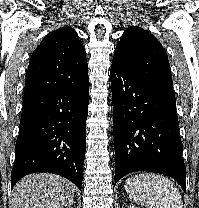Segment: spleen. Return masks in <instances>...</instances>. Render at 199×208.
Here are the masks:
<instances>
[{
  "mask_svg": "<svg viewBox=\"0 0 199 208\" xmlns=\"http://www.w3.org/2000/svg\"><path fill=\"white\" fill-rule=\"evenodd\" d=\"M124 187L134 202L146 208H183L177 187L162 175H135L126 180Z\"/></svg>",
  "mask_w": 199,
  "mask_h": 208,
  "instance_id": "spleen-1",
  "label": "spleen"
}]
</instances>
